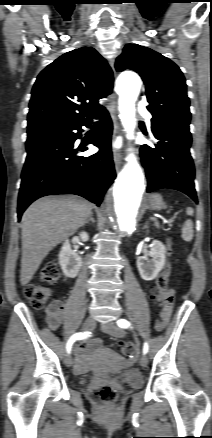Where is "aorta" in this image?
Returning <instances> with one entry per match:
<instances>
[{"mask_svg":"<svg viewBox=\"0 0 212 438\" xmlns=\"http://www.w3.org/2000/svg\"><path fill=\"white\" fill-rule=\"evenodd\" d=\"M141 79L135 73L122 74L117 82L120 118L128 139L133 138L136 126L135 102L140 93ZM145 190L144 175L136 157L130 154L127 164L119 173L113 190L111 212L119 234H131L139 216L142 194Z\"/></svg>","mask_w":212,"mask_h":438,"instance_id":"obj_1","label":"aorta"}]
</instances>
